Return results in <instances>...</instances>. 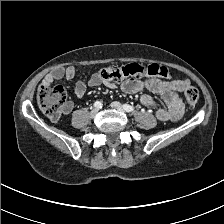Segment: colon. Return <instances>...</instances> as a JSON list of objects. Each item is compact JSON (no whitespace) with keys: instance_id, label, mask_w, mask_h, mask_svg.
I'll list each match as a JSON object with an SVG mask.
<instances>
[{"instance_id":"1","label":"colon","mask_w":224,"mask_h":224,"mask_svg":"<svg viewBox=\"0 0 224 224\" xmlns=\"http://www.w3.org/2000/svg\"><path fill=\"white\" fill-rule=\"evenodd\" d=\"M147 74L159 78H169V70L159 64H151L143 67L138 64H128L125 66L107 67L101 70L102 79L110 82H119L129 76ZM187 102L195 106L199 101V91L193 86H188L185 90ZM37 100L42 111L52 120H57L69 107L68 95L62 86H40L37 92Z\"/></svg>"}]
</instances>
